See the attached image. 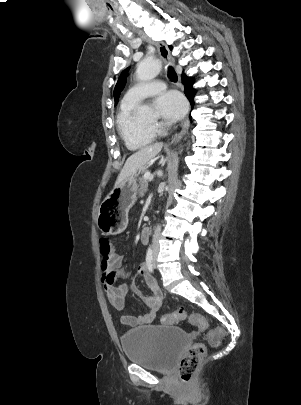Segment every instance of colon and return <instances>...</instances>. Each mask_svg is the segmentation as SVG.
Here are the masks:
<instances>
[{
	"label": "colon",
	"mask_w": 301,
	"mask_h": 405,
	"mask_svg": "<svg viewBox=\"0 0 301 405\" xmlns=\"http://www.w3.org/2000/svg\"><path fill=\"white\" fill-rule=\"evenodd\" d=\"M112 249V242L108 235L100 237V251L102 255H108ZM158 320L163 325H173L188 320L204 334V342L196 343L191 346L181 358L178 365L179 378L183 383H189L192 380L199 364L203 360L208 347H217L223 340L224 332L220 328L208 329V323L205 317L199 313L190 315L184 309H179L171 313L161 314Z\"/></svg>",
	"instance_id": "colon-1"
}]
</instances>
